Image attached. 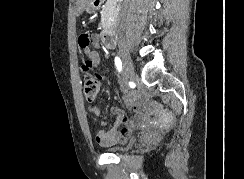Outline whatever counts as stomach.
<instances>
[{
  "instance_id": "obj_1",
  "label": "stomach",
  "mask_w": 244,
  "mask_h": 179,
  "mask_svg": "<svg viewBox=\"0 0 244 179\" xmlns=\"http://www.w3.org/2000/svg\"><path fill=\"white\" fill-rule=\"evenodd\" d=\"M86 12H88V14H92V12H94L95 8H93L92 4H89V6H87V8H85Z\"/></svg>"
}]
</instances>
